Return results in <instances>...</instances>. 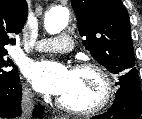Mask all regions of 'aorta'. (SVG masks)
Here are the masks:
<instances>
[{"label": "aorta", "mask_w": 142, "mask_h": 119, "mask_svg": "<svg viewBox=\"0 0 142 119\" xmlns=\"http://www.w3.org/2000/svg\"><path fill=\"white\" fill-rule=\"evenodd\" d=\"M69 11L62 6L53 7L47 12L44 18V26L49 34L61 32L67 25Z\"/></svg>", "instance_id": "762f6f07"}]
</instances>
